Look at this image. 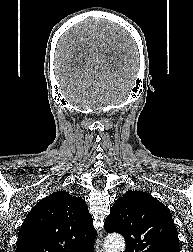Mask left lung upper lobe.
<instances>
[{
    "label": "left lung upper lobe",
    "mask_w": 193,
    "mask_h": 252,
    "mask_svg": "<svg viewBox=\"0 0 193 252\" xmlns=\"http://www.w3.org/2000/svg\"><path fill=\"white\" fill-rule=\"evenodd\" d=\"M104 229L125 238V252H180L171 213L146 192L130 190L123 194L113 204Z\"/></svg>",
    "instance_id": "5c2ea615"
}]
</instances>
